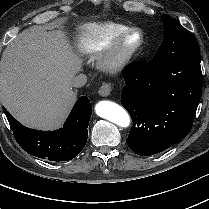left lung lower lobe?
Segmentation results:
<instances>
[{"label": "left lung lower lobe", "instance_id": "obj_1", "mask_svg": "<svg viewBox=\"0 0 209 209\" xmlns=\"http://www.w3.org/2000/svg\"><path fill=\"white\" fill-rule=\"evenodd\" d=\"M200 52L166 63L138 62L124 72L121 104L133 126L126 140L141 156L160 153L191 130L202 93Z\"/></svg>", "mask_w": 209, "mask_h": 209}]
</instances>
